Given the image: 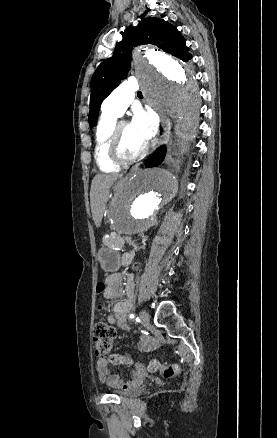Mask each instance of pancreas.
Segmentation results:
<instances>
[{
    "instance_id": "pancreas-1",
    "label": "pancreas",
    "mask_w": 277,
    "mask_h": 438,
    "mask_svg": "<svg viewBox=\"0 0 277 438\" xmlns=\"http://www.w3.org/2000/svg\"><path fill=\"white\" fill-rule=\"evenodd\" d=\"M103 241L107 246L110 244L111 248H124L127 238L124 235L119 236L117 231H106Z\"/></svg>"
}]
</instances>
